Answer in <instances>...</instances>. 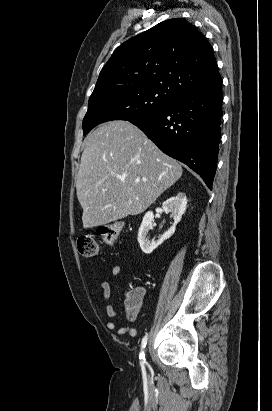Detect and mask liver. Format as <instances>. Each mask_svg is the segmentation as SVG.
Instances as JSON below:
<instances>
[{
	"label": "liver",
	"instance_id": "obj_1",
	"mask_svg": "<svg viewBox=\"0 0 272 411\" xmlns=\"http://www.w3.org/2000/svg\"><path fill=\"white\" fill-rule=\"evenodd\" d=\"M181 175V165L130 122L101 125L86 140L77 175L83 227L144 212Z\"/></svg>",
	"mask_w": 272,
	"mask_h": 411
}]
</instances>
